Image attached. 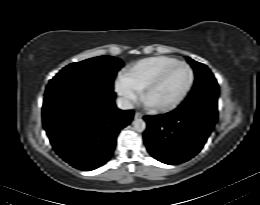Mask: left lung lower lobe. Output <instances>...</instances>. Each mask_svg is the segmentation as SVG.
I'll return each instance as SVG.
<instances>
[{"label": "left lung lower lobe", "instance_id": "left-lung-lower-lobe-1", "mask_svg": "<svg viewBox=\"0 0 260 205\" xmlns=\"http://www.w3.org/2000/svg\"><path fill=\"white\" fill-rule=\"evenodd\" d=\"M217 111L205 105H181L159 116H146L144 143L165 164H180L203 147L217 120Z\"/></svg>", "mask_w": 260, "mask_h": 205}]
</instances>
